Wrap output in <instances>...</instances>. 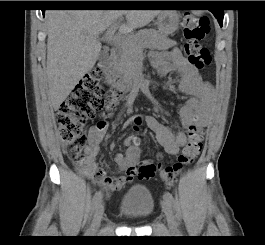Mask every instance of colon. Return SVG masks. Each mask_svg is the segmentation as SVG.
Here are the masks:
<instances>
[{
  "label": "colon",
  "mask_w": 265,
  "mask_h": 245,
  "mask_svg": "<svg viewBox=\"0 0 265 245\" xmlns=\"http://www.w3.org/2000/svg\"><path fill=\"white\" fill-rule=\"evenodd\" d=\"M182 26L185 39L184 51L189 62L200 69L210 66V52L202 45L209 30L207 19L186 15ZM102 80V68L93 67L57 110L56 119L62 146L68 158L77 166H82L85 161L83 151L86 145L87 121L94 118L97 113L112 112L119 101V94L106 90L102 86ZM142 122L141 116L133 119L136 131L139 130ZM203 134L202 127H193L174 163L161 166L153 161L144 162L135 169L137 177L146 180L159 174L167 187H173L184 170L200 155Z\"/></svg>",
  "instance_id": "obj_1"
}]
</instances>
